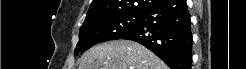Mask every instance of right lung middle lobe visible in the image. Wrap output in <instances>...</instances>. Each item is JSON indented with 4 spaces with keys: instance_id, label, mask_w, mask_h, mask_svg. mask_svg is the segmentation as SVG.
<instances>
[{
    "instance_id": "dd1d6c3e",
    "label": "right lung middle lobe",
    "mask_w": 246,
    "mask_h": 69,
    "mask_svg": "<svg viewBox=\"0 0 246 69\" xmlns=\"http://www.w3.org/2000/svg\"><path fill=\"white\" fill-rule=\"evenodd\" d=\"M165 1L167 0L163 3ZM141 19L142 14H122L84 22L79 31V42L74 54L84 52L97 43L119 39L139 25Z\"/></svg>"
}]
</instances>
